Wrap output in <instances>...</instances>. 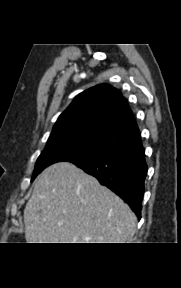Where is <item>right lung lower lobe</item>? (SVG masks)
<instances>
[{"instance_id":"1","label":"right lung lower lobe","mask_w":181,"mask_h":288,"mask_svg":"<svg viewBox=\"0 0 181 288\" xmlns=\"http://www.w3.org/2000/svg\"><path fill=\"white\" fill-rule=\"evenodd\" d=\"M71 163L96 177L120 196L141 218L144 181L147 175L145 149L142 145L102 156L76 159Z\"/></svg>"}]
</instances>
